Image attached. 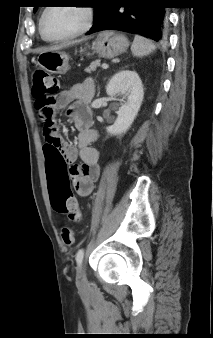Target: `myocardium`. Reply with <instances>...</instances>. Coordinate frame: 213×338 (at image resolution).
Segmentation results:
<instances>
[{"instance_id":"myocardium-1","label":"myocardium","mask_w":213,"mask_h":338,"mask_svg":"<svg viewBox=\"0 0 213 338\" xmlns=\"http://www.w3.org/2000/svg\"><path fill=\"white\" fill-rule=\"evenodd\" d=\"M54 5H50L48 6L42 13L40 20H39V33L41 35V38L46 41V42H50V43H59V42H63V41H67V40H71V39H75L77 37L82 36L83 34H85L92 26L93 23V19H94V11L90 6L87 5H81L79 8L83 9L84 13H85V22L84 24L81 26L80 29H78L77 31H75L74 33H71L69 35L60 37V38H54V39H49L47 37H45L44 33H43V25H44V20L46 15L48 14V12L55 8L53 7Z\"/></svg>"}]
</instances>
